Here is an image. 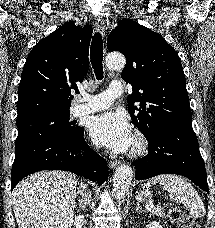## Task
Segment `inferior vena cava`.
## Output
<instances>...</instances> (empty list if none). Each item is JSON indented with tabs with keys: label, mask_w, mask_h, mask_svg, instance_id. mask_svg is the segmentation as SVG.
<instances>
[{
	"label": "inferior vena cava",
	"mask_w": 215,
	"mask_h": 228,
	"mask_svg": "<svg viewBox=\"0 0 215 228\" xmlns=\"http://www.w3.org/2000/svg\"><path fill=\"white\" fill-rule=\"evenodd\" d=\"M79 194H80V196H82L81 202H82L83 206H86L87 200H89V196H90L89 190H88L86 184H79Z\"/></svg>",
	"instance_id": "1"
}]
</instances>
